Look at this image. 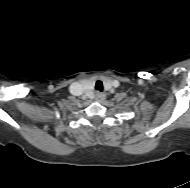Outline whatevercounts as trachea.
I'll use <instances>...</instances> for the list:
<instances>
[{
  "mask_svg": "<svg viewBox=\"0 0 190 188\" xmlns=\"http://www.w3.org/2000/svg\"><path fill=\"white\" fill-rule=\"evenodd\" d=\"M95 89L98 90V91H100V92L103 91V83H102V81H100V80L96 81V83H95Z\"/></svg>",
  "mask_w": 190,
  "mask_h": 188,
  "instance_id": "trachea-1",
  "label": "trachea"
}]
</instances>
